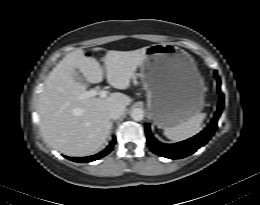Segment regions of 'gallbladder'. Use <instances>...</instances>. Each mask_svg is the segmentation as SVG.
I'll use <instances>...</instances> for the list:
<instances>
[{"mask_svg": "<svg viewBox=\"0 0 260 205\" xmlns=\"http://www.w3.org/2000/svg\"><path fill=\"white\" fill-rule=\"evenodd\" d=\"M76 80L79 81L82 84H87V82L85 81L84 77L81 74H78L76 76Z\"/></svg>", "mask_w": 260, "mask_h": 205, "instance_id": "obj_1", "label": "gallbladder"}]
</instances>
